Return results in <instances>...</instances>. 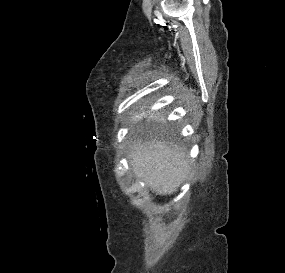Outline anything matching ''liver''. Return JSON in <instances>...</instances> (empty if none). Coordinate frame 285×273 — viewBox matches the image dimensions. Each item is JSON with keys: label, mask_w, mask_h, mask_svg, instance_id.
<instances>
[{"label": "liver", "mask_w": 285, "mask_h": 273, "mask_svg": "<svg viewBox=\"0 0 285 273\" xmlns=\"http://www.w3.org/2000/svg\"><path fill=\"white\" fill-rule=\"evenodd\" d=\"M130 164L135 175L159 195L176 192L189 171L185 153L161 141L134 143Z\"/></svg>", "instance_id": "6515ba94"}]
</instances>
